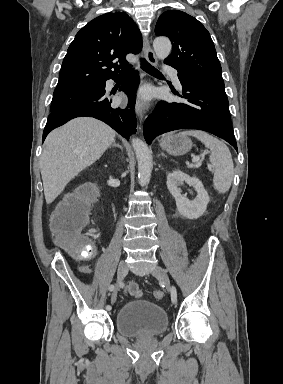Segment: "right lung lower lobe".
Returning <instances> with one entry per match:
<instances>
[{
    "mask_svg": "<svg viewBox=\"0 0 283 384\" xmlns=\"http://www.w3.org/2000/svg\"><path fill=\"white\" fill-rule=\"evenodd\" d=\"M138 83L139 79L134 74L122 84L120 89L128 94V105L123 109L111 107V101L104 97L105 83H103L97 86L96 91L92 95L62 108L51 110L43 132V141L53 129L63 125L72 118L81 116L102 120L123 137L129 139L130 134L136 132L137 126L134 107L135 90Z\"/></svg>",
    "mask_w": 283,
    "mask_h": 384,
    "instance_id": "obj_1",
    "label": "right lung lower lobe"
}]
</instances>
